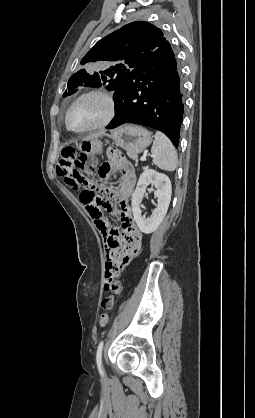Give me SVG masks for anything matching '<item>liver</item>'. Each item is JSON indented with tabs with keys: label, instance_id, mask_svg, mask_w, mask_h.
Returning a JSON list of instances; mask_svg holds the SVG:
<instances>
[{
	"label": "liver",
	"instance_id": "6515ba94",
	"mask_svg": "<svg viewBox=\"0 0 255 418\" xmlns=\"http://www.w3.org/2000/svg\"><path fill=\"white\" fill-rule=\"evenodd\" d=\"M103 133H96L93 134L91 136L86 137L84 140H91V139H97L98 137H100Z\"/></svg>",
	"mask_w": 255,
	"mask_h": 418
}]
</instances>
